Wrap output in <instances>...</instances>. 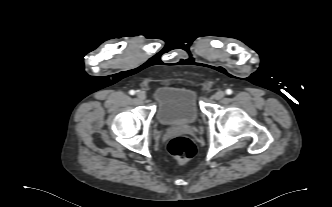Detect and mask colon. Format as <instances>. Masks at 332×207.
Wrapping results in <instances>:
<instances>
[{
  "label": "colon",
  "mask_w": 332,
  "mask_h": 207,
  "mask_svg": "<svg viewBox=\"0 0 332 207\" xmlns=\"http://www.w3.org/2000/svg\"><path fill=\"white\" fill-rule=\"evenodd\" d=\"M168 151L179 161H187L195 155L196 147L188 137L176 136L169 141Z\"/></svg>",
  "instance_id": "5ec220e1"
}]
</instances>
